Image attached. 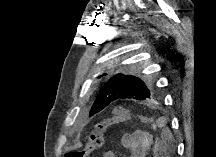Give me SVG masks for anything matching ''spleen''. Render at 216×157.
Here are the masks:
<instances>
[{
	"label": "spleen",
	"instance_id": "1",
	"mask_svg": "<svg viewBox=\"0 0 216 157\" xmlns=\"http://www.w3.org/2000/svg\"><path fill=\"white\" fill-rule=\"evenodd\" d=\"M168 139H169V141H171V139H172V136H171V134L169 133V131H168Z\"/></svg>",
	"mask_w": 216,
	"mask_h": 157
}]
</instances>
